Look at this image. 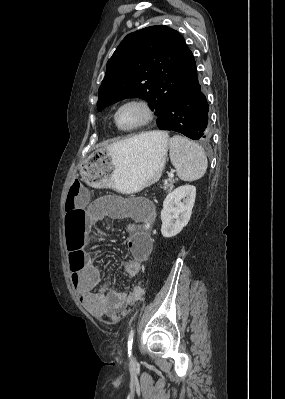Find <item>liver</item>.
<instances>
[{
	"instance_id": "6515ba94",
	"label": "liver",
	"mask_w": 285,
	"mask_h": 399,
	"mask_svg": "<svg viewBox=\"0 0 285 399\" xmlns=\"http://www.w3.org/2000/svg\"><path fill=\"white\" fill-rule=\"evenodd\" d=\"M158 135L157 131H153V132H146V133H142L140 134V136L143 137H147V138H151V139H155ZM115 144V143H114ZM113 145V144H112ZM111 145L107 146L106 148H109Z\"/></svg>"
}]
</instances>
